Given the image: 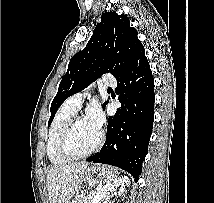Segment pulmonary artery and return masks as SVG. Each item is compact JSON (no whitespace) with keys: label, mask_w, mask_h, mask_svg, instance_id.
<instances>
[{"label":"pulmonary artery","mask_w":214,"mask_h":203,"mask_svg":"<svg viewBox=\"0 0 214 203\" xmlns=\"http://www.w3.org/2000/svg\"><path fill=\"white\" fill-rule=\"evenodd\" d=\"M102 85L106 87H115L116 86V80L113 76L110 74H105V77L101 80ZM84 99V93L79 92L74 94L73 96L69 97L67 99V104L73 108L74 110H78L81 107V104Z\"/></svg>","instance_id":"1"}]
</instances>
